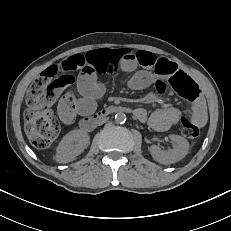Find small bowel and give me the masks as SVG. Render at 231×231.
I'll return each mask as SVG.
<instances>
[{"mask_svg":"<svg viewBox=\"0 0 231 231\" xmlns=\"http://www.w3.org/2000/svg\"><path fill=\"white\" fill-rule=\"evenodd\" d=\"M58 65L64 72H78L76 87L80 96L68 92L59 98L58 114L65 124L73 123L77 114H89L94 110L95 99L103 92V86L98 81L100 74L113 73L118 69L134 72L140 67L129 80L130 88L140 90L148 87L156 77L167 81L173 75L184 73L167 58H158L149 51L134 52L124 48L88 51L71 56ZM135 111L137 119L160 132L176 125L182 118L181 111L171 106L157 109L150 115L143 108ZM189 113L190 119L198 126L205 124V102L201 96L191 103Z\"/></svg>","mask_w":231,"mask_h":231,"instance_id":"obj_1","label":"small bowel"}]
</instances>
